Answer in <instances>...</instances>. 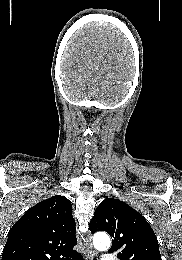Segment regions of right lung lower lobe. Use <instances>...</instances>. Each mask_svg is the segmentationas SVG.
Here are the masks:
<instances>
[{
	"label": "right lung lower lobe",
	"mask_w": 182,
	"mask_h": 260,
	"mask_svg": "<svg viewBox=\"0 0 182 260\" xmlns=\"http://www.w3.org/2000/svg\"><path fill=\"white\" fill-rule=\"evenodd\" d=\"M65 260H82V255L77 252L71 255L69 258H66Z\"/></svg>",
	"instance_id": "98d812e1"
}]
</instances>
